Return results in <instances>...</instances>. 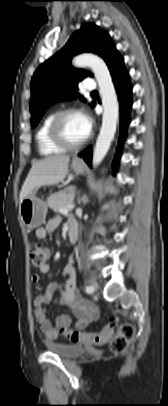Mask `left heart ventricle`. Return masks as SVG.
Returning <instances> with one entry per match:
<instances>
[{
  "label": "left heart ventricle",
  "mask_w": 168,
  "mask_h": 406,
  "mask_svg": "<svg viewBox=\"0 0 168 406\" xmlns=\"http://www.w3.org/2000/svg\"><path fill=\"white\" fill-rule=\"evenodd\" d=\"M62 133L70 142H78L87 137L78 113L70 114L63 120Z\"/></svg>",
  "instance_id": "left-heart-ventricle-1"
}]
</instances>
